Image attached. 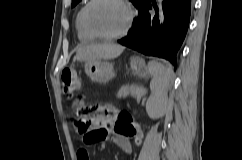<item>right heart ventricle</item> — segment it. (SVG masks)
Returning a JSON list of instances; mask_svg holds the SVG:
<instances>
[{
  "mask_svg": "<svg viewBox=\"0 0 242 160\" xmlns=\"http://www.w3.org/2000/svg\"><path fill=\"white\" fill-rule=\"evenodd\" d=\"M84 7H81L79 9V11L77 12L76 18H75V28H76V32H77V36L78 39L82 42H88L91 41L95 38H93L92 36H90L86 30L83 27L82 24V11H83Z\"/></svg>",
  "mask_w": 242,
  "mask_h": 160,
  "instance_id": "obj_1",
  "label": "right heart ventricle"
}]
</instances>
